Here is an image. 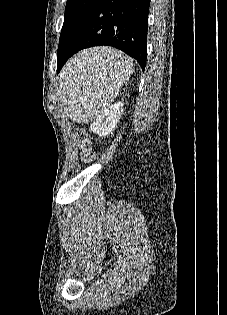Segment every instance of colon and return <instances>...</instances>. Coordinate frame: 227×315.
<instances>
[{"label": "colon", "instance_id": "5ec220e1", "mask_svg": "<svg viewBox=\"0 0 227 315\" xmlns=\"http://www.w3.org/2000/svg\"><path fill=\"white\" fill-rule=\"evenodd\" d=\"M76 142L80 149V159L84 163H90L95 158L92 146V136L84 128H78L75 132Z\"/></svg>", "mask_w": 227, "mask_h": 315}]
</instances>
